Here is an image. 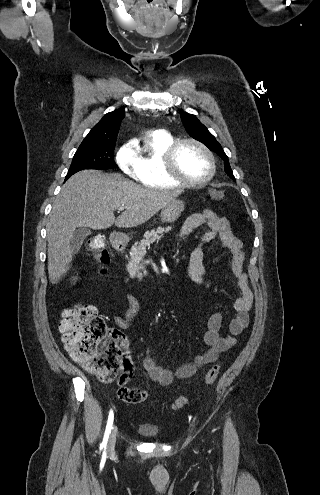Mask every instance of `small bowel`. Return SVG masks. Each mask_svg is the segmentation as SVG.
I'll use <instances>...</instances> for the list:
<instances>
[{"label": "small bowel", "instance_id": "small-bowel-1", "mask_svg": "<svg viewBox=\"0 0 320 495\" xmlns=\"http://www.w3.org/2000/svg\"><path fill=\"white\" fill-rule=\"evenodd\" d=\"M200 227H205L207 230L203 234L200 244L192 251L189 257L185 268L186 273L194 282L206 284L203 247L218 238L221 246L230 252V269L238 291L234 302L236 314L228 324L227 334L220 332L223 323L222 313L216 312L212 314L207 322V328L203 336L207 349L204 353L197 355L192 362L186 363L176 370H170L158 365L152 355L151 348H147L143 359V368L152 381L162 386L170 385L175 379L189 378L204 365L215 362L221 353L235 346L236 336L241 334L248 325V312L252 306L253 294L244 271L242 242L234 234L229 220L218 216L209 209L190 215L181 227L180 236L185 238ZM126 301L129 305L126 318L124 319L118 315L113 317L114 322L121 328L129 326L139 309V302L134 295H126ZM122 374L128 381L132 374V366L124 367Z\"/></svg>", "mask_w": 320, "mask_h": 495}]
</instances>
